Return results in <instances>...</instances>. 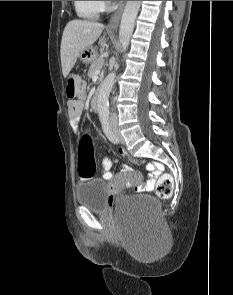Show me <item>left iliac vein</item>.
Segmentation results:
<instances>
[{
    "label": "left iliac vein",
    "instance_id": "obj_1",
    "mask_svg": "<svg viewBox=\"0 0 233 295\" xmlns=\"http://www.w3.org/2000/svg\"><path fill=\"white\" fill-rule=\"evenodd\" d=\"M114 132H115L117 138L119 139V141L122 144H124L125 143V140H124L123 136L120 134L119 130L116 127H114Z\"/></svg>",
    "mask_w": 233,
    "mask_h": 295
}]
</instances>
